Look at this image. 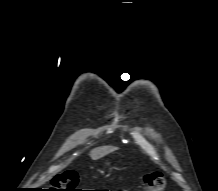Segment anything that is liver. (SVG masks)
Returning <instances> with one entry per match:
<instances>
[{
  "instance_id": "obj_1",
  "label": "liver",
  "mask_w": 218,
  "mask_h": 191,
  "mask_svg": "<svg viewBox=\"0 0 218 191\" xmlns=\"http://www.w3.org/2000/svg\"><path fill=\"white\" fill-rule=\"evenodd\" d=\"M117 148L116 147H112V146H102V147H98V148H95L93 149L91 152H90V157L93 159V160H97L101 157H104L105 155L115 151Z\"/></svg>"
}]
</instances>
